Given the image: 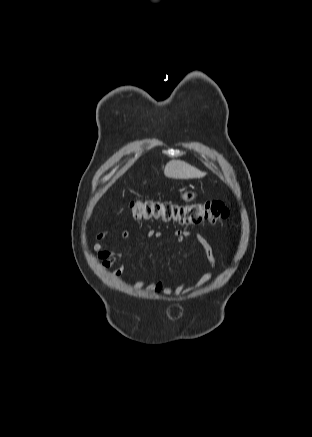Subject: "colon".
<instances>
[{"instance_id": "5ec220e1", "label": "colon", "mask_w": 312, "mask_h": 437, "mask_svg": "<svg viewBox=\"0 0 312 437\" xmlns=\"http://www.w3.org/2000/svg\"><path fill=\"white\" fill-rule=\"evenodd\" d=\"M130 211L135 220H162L182 225H198L203 222L217 224L226 220L229 211L219 201H200L180 205L171 201L137 199L130 203Z\"/></svg>"}]
</instances>
